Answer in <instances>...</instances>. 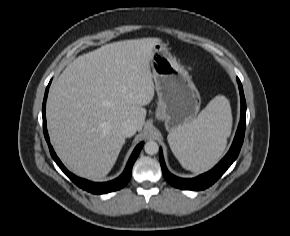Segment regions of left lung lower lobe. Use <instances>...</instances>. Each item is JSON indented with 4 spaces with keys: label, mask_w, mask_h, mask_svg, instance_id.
I'll return each mask as SVG.
<instances>
[{
    "label": "left lung lower lobe",
    "mask_w": 290,
    "mask_h": 236,
    "mask_svg": "<svg viewBox=\"0 0 290 236\" xmlns=\"http://www.w3.org/2000/svg\"><path fill=\"white\" fill-rule=\"evenodd\" d=\"M240 96H241V118L238 129L233 140L232 146L225 157L209 172H206L196 178L183 179L172 175L166 168L162 150L160 149L159 159L164 178L169 184L183 190H203L214 184L236 160L244 140L245 134V116H246V101L243 93L242 84L237 78Z\"/></svg>",
    "instance_id": "left-lung-lower-lobe-1"
}]
</instances>
